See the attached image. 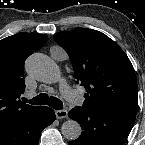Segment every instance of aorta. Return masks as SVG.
I'll return each instance as SVG.
<instances>
[{
    "instance_id": "aorta-1",
    "label": "aorta",
    "mask_w": 145,
    "mask_h": 145,
    "mask_svg": "<svg viewBox=\"0 0 145 145\" xmlns=\"http://www.w3.org/2000/svg\"><path fill=\"white\" fill-rule=\"evenodd\" d=\"M27 72L44 83H54L59 77V69L55 62L41 53L32 54L26 61ZM62 135L68 140H76L80 137L82 128L75 120H67L61 127Z\"/></svg>"
}]
</instances>
